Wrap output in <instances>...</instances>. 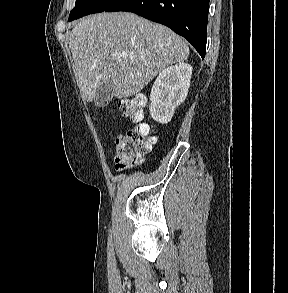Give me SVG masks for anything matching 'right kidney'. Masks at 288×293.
I'll return each mask as SVG.
<instances>
[{
    "mask_svg": "<svg viewBox=\"0 0 288 293\" xmlns=\"http://www.w3.org/2000/svg\"><path fill=\"white\" fill-rule=\"evenodd\" d=\"M192 67L180 62L162 70L155 80L150 93V115L162 124L168 123L175 109L186 99Z\"/></svg>",
    "mask_w": 288,
    "mask_h": 293,
    "instance_id": "right-kidney-1",
    "label": "right kidney"
}]
</instances>
